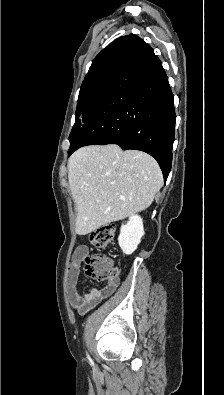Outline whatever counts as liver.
Masks as SVG:
<instances>
[{"mask_svg":"<svg viewBox=\"0 0 224 395\" xmlns=\"http://www.w3.org/2000/svg\"><path fill=\"white\" fill-rule=\"evenodd\" d=\"M68 170L78 235L145 210L163 185L153 157L137 150L122 151L117 145L78 149L69 158Z\"/></svg>","mask_w":224,"mask_h":395,"instance_id":"obj_1","label":"liver"}]
</instances>
